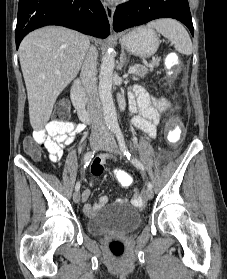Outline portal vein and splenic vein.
Returning a JSON list of instances; mask_svg holds the SVG:
<instances>
[{
  "mask_svg": "<svg viewBox=\"0 0 227 279\" xmlns=\"http://www.w3.org/2000/svg\"><path fill=\"white\" fill-rule=\"evenodd\" d=\"M137 70V66H132L129 70H128V73L132 74L134 73L135 71Z\"/></svg>",
  "mask_w": 227,
  "mask_h": 279,
  "instance_id": "18ae733b",
  "label": "portal vein and splenic vein"
}]
</instances>
